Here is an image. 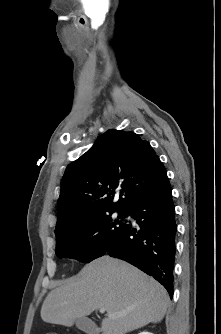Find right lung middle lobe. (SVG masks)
<instances>
[{
  "mask_svg": "<svg viewBox=\"0 0 221 334\" xmlns=\"http://www.w3.org/2000/svg\"><path fill=\"white\" fill-rule=\"evenodd\" d=\"M112 213L69 227L56 238V255L84 263L103 256L117 242L126 226L118 220L113 221ZM124 213L127 212H120L118 217L123 218Z\"/></svg>",
  "mask_w": 221,
  "mask_h": 334,
  "instance_id": "right-lung-middle-lobe-1",
  "label": "right lung middle lobe"
}]
</instances>
